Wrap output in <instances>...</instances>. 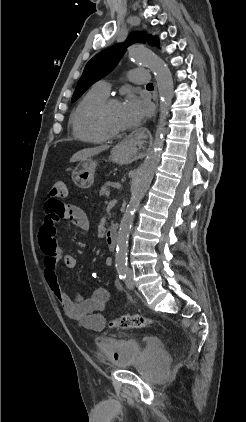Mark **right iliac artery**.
Wrapping results in <instances>:
<instances>
[{
    "mask_svg": "<svg viewBox=\"0 0 246 422\" xmlns=\"http://www.w3.org/2000/svg\"><path fill=\"white\" fill-rule=\"evenodd\" d=\"M118 274H119V278H120L121 280H124V279L126 278V270H125V269H120V270L118 271Z\"/></svg>",
    "mask_w": 246,
    "mask_h": 422,
    "instance_id": "obj_1",
    "label": "right iliac artery"
}]
</instances>
